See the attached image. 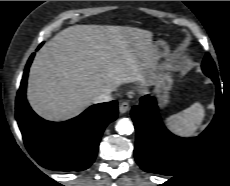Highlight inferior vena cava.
I'll use <instances>...</instances> for the list:
<instances>
[{
	"label": "inferior vena cava",
	"mask_w": 230,
	"mask_h": 186,
	"mask_svg": "<svg viewBox=\"0 0 230 186\" xmlns=\"http://www.w3.org/2000/svg\"><path fill=\"white\" fill-rule=\"evenodd\" d=\"M111 92L110 91H105L100 94H98L95 98L94 101L95 103H102V102H108L111 101Z\"/></svg>",
	"instance_id": "1"
}]
</instances>
